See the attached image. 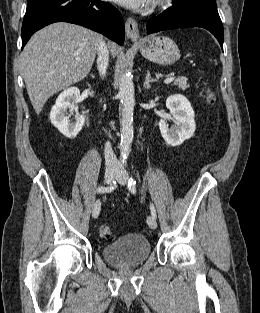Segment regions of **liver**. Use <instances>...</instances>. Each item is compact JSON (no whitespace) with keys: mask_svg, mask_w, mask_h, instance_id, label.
I'll return each instance as SVG.
<instances>
[{"mask_svg":"<svg viewBox=\"0 0 260 313\" xmlns=\"http://www.w3.org/2000/svg\"><path fill=\"white\" fill-rule=\"evenodd\" d=\"M102 36L58 22L36 32L21 54L27 93L36 114L55 93L83 80L91 70ZM116 52L117 46L111 45Z\"/></svg>","mask_w":260,"mask_h":313,"instance_id":"1","label":"liver"}]
</instances>
